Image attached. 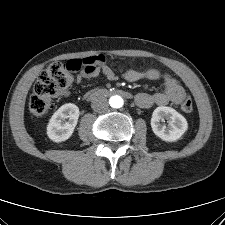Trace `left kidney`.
<instances>
[{
    "instance_id": "1",
    "label": "left kidney",
    "mask_w": 225,
    "mask_h": 225,
    "mask_svg": "<svg viewBox=\"0 0 225 225\" xmlns=\"http://www.w3.org/2000/svg\"><path fill=\"white\" fill-rule=\"evenodd\" d=\"M168 120V127L161 122ZM151 127L156 136L166 142H174L187 131V120L171 107H157L152 114Z\"/></svg>"
}]
</instances>
